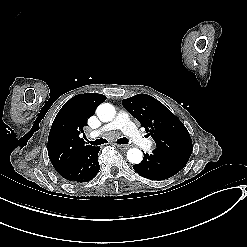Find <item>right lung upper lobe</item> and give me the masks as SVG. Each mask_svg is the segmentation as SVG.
Here are the masks:
<instances>
[{"label":"right lung upper lobe","mask_w":247,"mask_h":247,"mask_svg":"<svg viewBox=\"0 0 247 247\" xmlns=\"http://www.w3.org/2000/svg\"><path fill=\"white\" fill-rule=\"evenodd\" d=\"M105 100L106 97L102 94L85 93L72 97L62 106L48 137V155L55 170L69 164L90 146L85 145L79 135L87 125V119Z\"/></svg>","instance_id":"cb5924a9"}]
</instances>
